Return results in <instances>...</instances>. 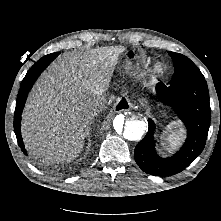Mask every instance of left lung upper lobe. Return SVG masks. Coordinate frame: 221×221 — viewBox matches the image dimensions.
<instances>
[{
    "mask_svg": "<svg viewBox=\"0 0 221 221\" xmlns=\"http://www.w3.org/2000/svg\"><path fill=\"white\" fill-rule=\"evenodd\" d=\"M168 53L173 60L175 69L170 85H175L185 81L204 79L201 71L189 58L171 51Z\"/></svg>",
    "mask_w": 221,
    "mask_h": 221,
    "instance_id": "1",
    "label": "left lung upper lobe"
}]
</instances>
